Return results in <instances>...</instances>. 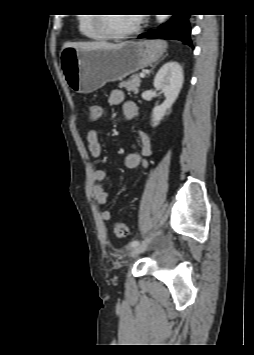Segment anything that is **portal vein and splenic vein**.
Returning <instances> with one entry per match:
<instances>
[{"mask_svg": "<svg viewBox=\"0 0 254 355\" xmlns=\"http://www.w3.org/2000/svg\"><path fill=\"white\" fill-rule=\"evenodd\" d=\"M140 77L144 78V77H145V73H144V72L141 73V74H140Z\"/></svg>", "mask_w": 254, "mask_h": 355, "instance_id": "1", "label": "portal vein and splenic vein"}]
</instances>
